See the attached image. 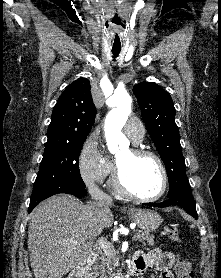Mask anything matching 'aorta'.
I'll use <instances>...</instances> for the list:
<instances>
[{
  "instance_id": "aorta-1",
  "label": "aorta",
  "mask_w": 221,
  "mask_h": 278,
  "mask_svg": "<svg viewBox=\"0 0 221 278\" xmlns=\"http://www.w3.org/2000/svg\"><path fill=\"white\" fill-rule=\"evenodd\" d=\"M132 99L128 93L116 95L115 107L110 110L105 120V137L110 152H116L125 141L121 130L131 113Z\"/></svg>"
}]
</instances>
